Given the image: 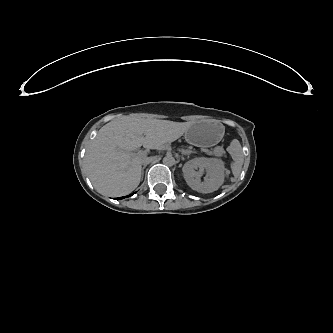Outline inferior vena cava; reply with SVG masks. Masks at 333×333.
<instances>
[{
	"label": "inferior vena cava",
	"mask_w": 333,
	"mask_h": 333,
	"mask_svg": "<svg viewBox=\"0 0 333 333\" xmlns=\"http://www.w3.org/2000/svg\"><path fill=\"white\" fill-rule=\"evenodd\" d=\"M155 158L154 157H147V158H144L142 160V164L143 165H148L149 163H151Z\"/></svg>",
	"instance_id": "obj_1"
}]
</instances>
